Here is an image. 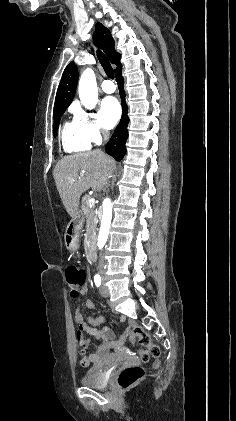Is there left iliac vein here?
<instances>
[{
	"label": "left iliac vein",
	"instance_id": "4c4485c4",
	"mask_svg": "<svg viewBox=\"0 0 236 421\" xmlns=\"http://www.w3.org/2000/svg\"><path fill=\"white\" fill-rule=\"evenodd\" d=\"M100 293H101V296H103V297H107L108 294H109L108 289L105 287V280L104 279H103V283H102V286H101V289H100Z\"/></svg>",
	"mask_w": 236,
	"mask_h": 421
}]
</instances>
